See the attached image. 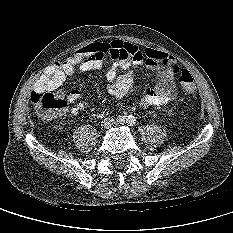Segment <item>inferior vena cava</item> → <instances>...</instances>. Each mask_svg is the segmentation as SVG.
I'll list each match as a JSON object with an SVG mask.
<instances>
[{
    "mask_svg": "<svg viewBox=\"0 0 233 233\" xmlns=\"http://www.w3.org/2000/svg\"><path fill=\"white\" fill-rule=\"evenodd\" d=\"M103 123H105V124H106V123H107V120H105Z\"/></svg>",
    "mask_w": 233,
    "mask_h": 233,
    "instance_id": "inferior-vena-cava-1",
    "label": "inferior vena cava"
}]
</instances>
